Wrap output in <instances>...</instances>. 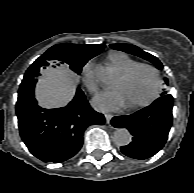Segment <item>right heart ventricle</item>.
Returning <instances> with one entry per match:
<instances>
[{
    "mask_svg": "<svg viewBox=\"0 0 194 193\" xmlns=\"http://www.w3.org/2000/svg\"><path fill=\"white\" fill-rule=\"evenodd\" d=\"M108 60L113 67H115L120 73L126 71L127 69L131 68L138 62L127 54L122 52L112 53L108 56Z\"/></svg>",
    "mask_w": 194,
    "mask_h": 193,
    "instance_id": "e07e8e85",
    "label": "right heart ventricle"
}]
</instances>
